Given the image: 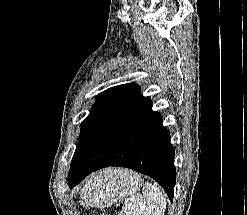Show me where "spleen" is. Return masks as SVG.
I'll list each match as a JSON object with an SVG mask.
<instances>
[{"instance_id":"3e777b00","label":"spleen","mask_w":247,"mask_h":215,"mask_svg":"<svg viewBox=\"0 0 247 215\" xmlns=\"http://www.w3.org/2000/svg\"><path fill=\"white\" fill-rule=\"evenodd\" d=\"M126 174L130 173L126 171ZM165 208L166 195L150 182H146L143 185L142 194L135 190L124 197V206L122 207L121 214L164 215Z\"/></svg>"}]
</instances>
